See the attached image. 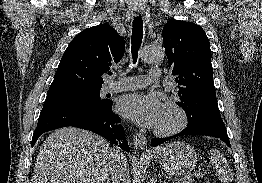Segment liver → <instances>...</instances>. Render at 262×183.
Here are the masks:
<instances>
[{
	"mask_svg": "<svg viewBox=\"0 0 262 183\" xmlns=\"http://www.w3.org/2000/svg\"><path fill=\"white\" fill-rule=\"evenodd\" d=\"M108 142L76 127L55 130L39 149L31 183H109Z\"/></svg>",
	"mask_w": 262,
	"mask_h": 183,
	"instance_id": "1",
	"label": "liver"
}]
</instances>
